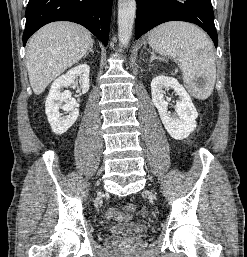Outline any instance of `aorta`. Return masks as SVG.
<instances>
[{
  "label": "aorta",
  "mask_w": 247,
  "mask_h": 257,
  "mask_svg": "<svg viewBox=\"0 0 247 257\" xmlns=\"http://www.w3.org/2000/svg\"><path fill=\"white\" fill-rule=\"evenodd\" d=\"M135 15L136 0H118V38L122 48L130 42Z\"/></svg>",
  "instance_id": "aorta-1"
}]
</instances>
